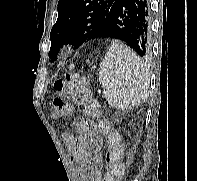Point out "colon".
Wrapping results in <instances>:
<instances>
[{
  "instance_id": "1",
  "label": "colon",
  "mask_w": 197,
  "mask_h": 181,
  "mask_svg": "<svg viewBox=\"0 0 197 181\" xmlns=\"http://www.w3.org/2000/svg\"><path fill=\"white\" fill-rule=\"evenodd\" d=\"M54 98L51 113L54 116H65L72 112V102L75 101L79 110L87 117L96 118L100 115L98 103L91 97L82 78L78 74L67 75L53 83ZM101 128L107 131L109 125L106 121L101 123ZM122 148L116 132L107 136L106 165L107 171L104 181H120L124 166L121 162Z\"/></svg>"
}]
</instances>
